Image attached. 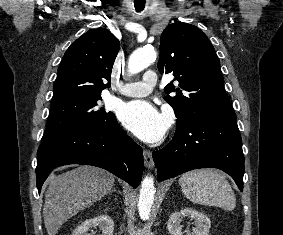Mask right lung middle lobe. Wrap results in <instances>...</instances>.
<instances>
[{"instance_id": "obj_1", "label": "right lung middle lobe", "mask_w": 283, "mask_h": 235, "mask_svg": "<svg viewBox=\"0 0 283 235\" xmlns=\"http://www.w3.org/2000/svg\"><path fill=\"white\" fill-rule=\"evenodd\" d=\"M101 96L72 97L53 102L41 144L108 123L115 115L99 107Z\"/></svg>"}]
</instances>
